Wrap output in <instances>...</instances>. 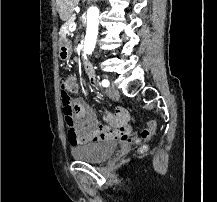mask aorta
<instances>
[{
    "label": "aorta",
    "instance_id": "aorta-1",
    "mask_svg": "<svg viewBox=\"0 0 217 202\" xmlns=\"http://www.w3.org/2000/svg\"><path fill=\"white\" fill-rule=\"evenodd\" d=\"M99 26V10L98 8H88L87 10V28L84 42V54H92L97 36Z\"/></svg>",
    "mask_w": 217,
    "mask_h": 202
}]
</instances>
